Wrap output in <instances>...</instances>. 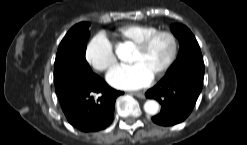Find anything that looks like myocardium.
Here are the masks:
<instances>
[{"label": "myocardium", "instance_id": "1", "mask_svg": "<svg viewBox=\"0 0 247 145\" xmlns=\"http://www.w3.org/2000/svg\"><path fill=\"white\" fill-rule=\"evenodd\" d=\"M160 36H166L170 39L172 48L171 53L165 62V64L156 71V73L153 75L154 79L160 78L163 76L174 64L179 51V42L177 36L170 30H157L148 36H146L144 39H142L140 42L134 45V49H136L139 52L146 51L149 46L152 44V42L160 37Z\"/></svg>", "mask_w": 247, "mask_h": 145}]
</instances>
